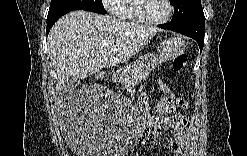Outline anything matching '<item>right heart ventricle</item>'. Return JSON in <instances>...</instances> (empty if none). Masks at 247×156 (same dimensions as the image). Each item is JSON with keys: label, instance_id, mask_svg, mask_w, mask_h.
<instances>
[{"label": "right heart ventricle", "instance_id": "e07e8e85", "mask_svg": "<svg viewBox=\"0 0 247 156\" xmlns=\"http://www.w3.org/2000/svg\"><path fill=\"white\" fill-rule=\"evenodd\" d=\"M131 1H121L118 9V13L116 14L120 19L123 20H133L130 10Z\"/></svg>", "mask_w": 247, "mask_h": 156}]
</instances>
